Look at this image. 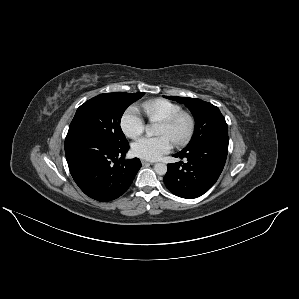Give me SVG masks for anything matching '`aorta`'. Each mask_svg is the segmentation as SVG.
<instances>
[{"mask_svg": "<svg viewBox=\"0 0 299 299\" xmlns=\"http://www.w3.org/2000/svg\"><path fill=\"white\" fill-rule=\"evenodd\" d=\"M146 133L148 135H153V134H157V129L153 124H149L146 126ZM154 171L158 174V175H165L167 172V165L164 163H156L154 165Z\"/></svg>", "mask_w": 299, "mask_h": 299, "instance_id": "1", "label": "aorta"}]
</instances>
